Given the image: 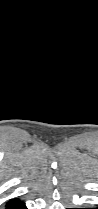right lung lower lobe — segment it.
<instances>
[{"mask_svg":"<svg viewBox=\"0 0 98 209\" xmlns=\"http://www.w3.org/2000/svg\"><path fill=\"white\" fill-rule=\"evenodd\" d=\"M5 207L6 209H27L25 203L17 198L9 200Z\"/></svg>","mask_w":98,"mask_h":209,"instance_id":"1","label":"right lung lower lobe"}]
</instances>
